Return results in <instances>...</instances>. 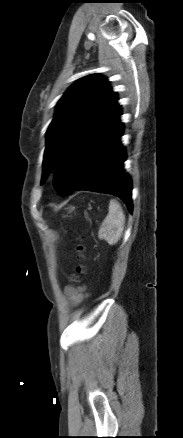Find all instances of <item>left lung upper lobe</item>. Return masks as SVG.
Masks as SVG:
<instances>
[{"label": "left lung upper lobe", "mask_w": 183, "mask_h": 438, "mask_svg": "<svg viewBox=\"0 0 183 438\" xmlns=\"http://www.w3.org/2000/svg\"><path fill=\"white\" fill-rule=\"evenodd\" d=\"M119 110L116 93L98 74L83 77L70 87L57 103L47 130L42 182L78 143Z\"/></svg>", "instance_id": "left-lung-upper-lobe-1"}]
</instances>
